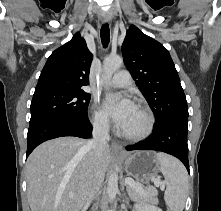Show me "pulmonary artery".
<instances>
[{
  "label": "pulmonary artery",
  "instance_id": "e3ab8cb5",
  "mask_svg": "<svg viewBox=\"0 0 221 211\" xmlns=\"http://www.w3.org/2000/svg\"><path fill=\"white\" fill-rule=\"evenodd\" d=\"M114 87H128L132 84L131 75L126 70L118 71L110 80Z\"/></svg>",
  "mask_w": 221,
  "mask_h": 211
}]
</instances>
